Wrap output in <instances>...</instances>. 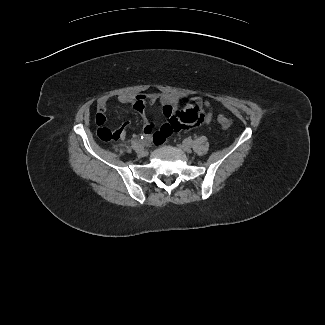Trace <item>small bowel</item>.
Returning <instances> with one entry per match:
<instances>
[{
    "label": "small bowel",
    "instance_id": "1",
    "mask_svg": "<svg viewBox=\"0 0 325 325\" xmlns=\"http://www.w3.org/2000/svg\"><path fill=\"white\" fill-rule=\"evenodd\" d=\"M116 100L122 104H131L133 109L141 116L144 134L154 136L158 142H164L166 137L181 129L188 130L193 126L208 124L213 116L211 103L201 97H193L186 105L184 111H177L179 103L185 98L183 94L177 93H147V94H126L121 93L115 96ZM111 95L102 96L97 102V113L95 122L98 127H104L106 123L107 105ZM160 103L162 115L166 123L155 131V123L146 115L148 105ZM130 122H123L117 129L120 130V137L125 136L126 128Z\"/></svg>",
    "mask_w": 325,
    "mask_h": 325
}]
</instances>
